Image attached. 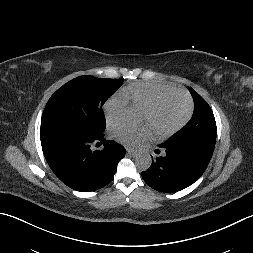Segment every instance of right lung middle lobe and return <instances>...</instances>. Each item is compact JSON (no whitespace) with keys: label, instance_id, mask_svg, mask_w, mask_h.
I'll use <instances>...</instances> for the list:
<instances>
[{"label":"right lung middle lobe","instance_id":"obj_1","mask_svg":"<svg viewBox=\"0 0 253 253\" xmlns=\"http://www.w3.org/2000/svg\"><path fill=\"white\" fill-rule=\"evenodd\" d=\"M123 81L93 76L72 79L47 102L41 130L63 128L91 137L103 135L106 121L102 106Z\"/></svg>","mask_w":253,"mask_h":253}]
</instances>
